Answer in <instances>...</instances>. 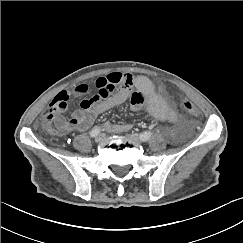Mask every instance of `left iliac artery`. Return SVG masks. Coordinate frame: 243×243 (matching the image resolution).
Segmentation results:
<instances>
[{"instance_id": "obj_1", "label": "left iliac artery", "mask_w": 243, "mask_h": 243, "mask_svg": "<svg viewBox=\"0 0 243 243\" xmlns=\"http://www.w3.org/2000/svg\"><path fill=\"white\" fill-rule=\"evenodd\" d=\"M153 135V132L151 131H145L140 134V138L142 141H148Z\"/></svg>"}]
</instances>
